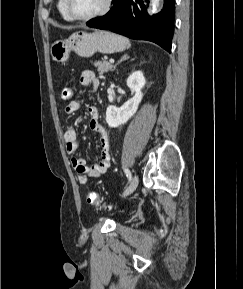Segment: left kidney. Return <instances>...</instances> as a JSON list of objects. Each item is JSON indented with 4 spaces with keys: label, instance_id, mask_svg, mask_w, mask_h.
<instances>
[{
    "label": "left kidney",
    "instance_id": "1",
    "mask_svg": "<svg viewBox=\"0 0 243 289\" xmlns=\"http://www.w3.org/2000/svg\"><path fill=\"white\" fill-rule=\"evenodd\" d=\"M146 80L141 71L133 72L127 79V86L135 92V95L121 107L110 105L106 110V122L109 127L116 128L125 124L137 111L143 98L142 88Z\"/></svg>",
    "mask_w": 243,
    "mask_h": 289
}]
</instances>
